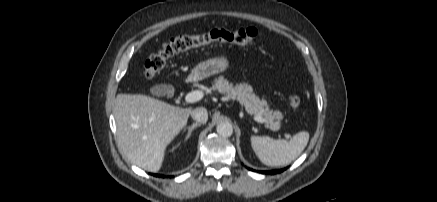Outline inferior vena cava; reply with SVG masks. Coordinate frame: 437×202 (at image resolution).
<instances>
[{"label":"inferior vena cava","mask_w":437,"mask_h":202,"mask_svg":"<svg viewBox=\"0 0 437 202\" xmlns=\"http://www.w3.org/2000/svg\"><path fill=\"white\" fill-rule=\"evenodd\" d=\"M191 117L199 123H206L208 120V113L206 108L197 107L191 112Z\"/></svg>","instance_id":"602c4592"}]
</instances>
